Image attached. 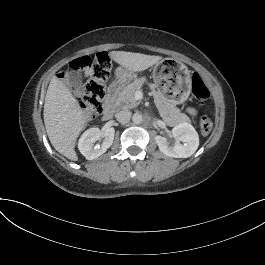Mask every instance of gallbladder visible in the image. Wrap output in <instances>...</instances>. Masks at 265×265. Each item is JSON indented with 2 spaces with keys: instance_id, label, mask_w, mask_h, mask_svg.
Segmentation results:
<instances>
[{
  "instance_id": "1",
  "label": "gallbladder",
  "mask_w": 265,
  "mask_h": 265,
  "mask_svg": "<svg viewBox=\"0 0 265 265\" xmlns=\"http://www.w3.org/2000/svg\"><path fill=\"white\" fill-rule=\"evenodd\" d=\"M65 80L70 84L71 86L75 88H83L82 85V76L79 71L76 70H70L67 71L65 74Z\"/></svg>"
}]
</instances>
